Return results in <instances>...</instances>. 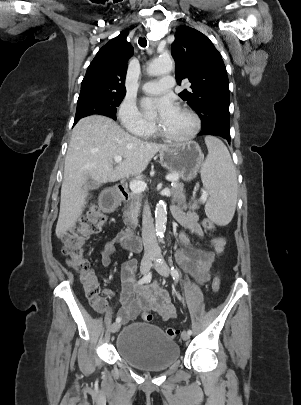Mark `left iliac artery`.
<instances>
[{
  "mask_svg": "<svg viewBox=\"0 0 301 405\" xmlns=\"http://www.w3.org/2000/svg\"><path fill=\"white\" fill-rule=\"evenodd\" d=\"M170 271H171V275H172V277H173V280H174L175 282H178L179 277H180V274H179L178 270H177L175 267L172 266V267L170 268ZM177 296H178V298H179L180 301H183V300H182V297L180 296V294H177ZM187 332H188L190 335L192 334V331H191V330H188Z\"/></svg>",
  "mask_w": 301,
  "mask_h": 405,
  "instance_id": "obj_1",
  "label": "left iliac artery"
}]
</instances>
